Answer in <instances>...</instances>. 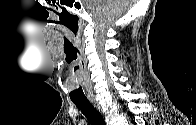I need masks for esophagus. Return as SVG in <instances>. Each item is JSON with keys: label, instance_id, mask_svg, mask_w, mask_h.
<instances>
[{"label": "esophagus", "instance_id": "1", "mask_svg": "<svg viewBox=\"0 0 196 125\" xmlns=\"http://www.w3.org/2000/svg\"><path fill=\"white\" fill-rule=\"evenodd\" d=\"M89 100H90V102L92 103V105L97 109V111L101 114V116H102L103 119H104L105 124H106V125H109V119H108V117L105 115V113L103 112L102 107H101V105L98 103V101L95 100L94 98H90Z\"/></svg>", "mask_w": 196, "mask_h": 125}]
</instances>
